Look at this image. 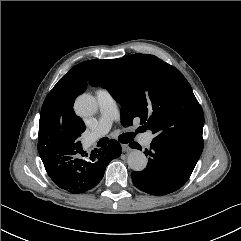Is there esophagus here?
<instances>
[{"mask_svg":"<svg viewBox=\"0 0 241 241\" xmlns=\"http://www.w3.org/2000/svg\"><path fill=\"white\" fill-rule=\"evenodd\" d=\"M123 152H128L130 150V147L128 144H121Z\"/></svg>","mask_w":241,"mask_h":241,"instance_id":"obj_1","label":"esophagus"}]
</instances>
